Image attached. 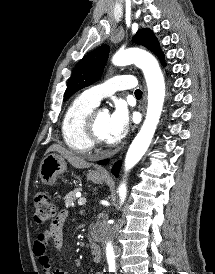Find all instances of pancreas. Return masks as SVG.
<instances>
[{
  "label": "pancreas",
  "mask_w": 215,
  "mask_h": 274,
  "mask_svg": "<svg viewBox=\"0 0 215 274\" xmlns=\"http://www.w3.org/2000/svg\"><path fill=\"white\" fill-rule=\"evenodd\" d=\"M81 191V188H76L65 196V205L66 207H72L73 202L76 200L75 194Z\"/></svg>",
  "instance_id": "cf45deb5"
}]
</instances>
